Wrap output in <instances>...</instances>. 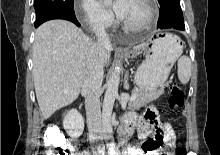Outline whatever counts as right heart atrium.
<instances>
[{"instance_id": "d8ad5b80", "label": "right heart atrium", "mask_w": 220, "mask_h": 155, "mask_svg": "<svg viewBox=\"0 0 220 155\" xmlns=\"http://www.w3.org/2000/svg\"><path fill=\"white\" fill-rule=\"evenodd\" d=\"M76 15L92 31H107L114 25L113 15L97 0H79Z\"/></svg>"}]
</instances>
